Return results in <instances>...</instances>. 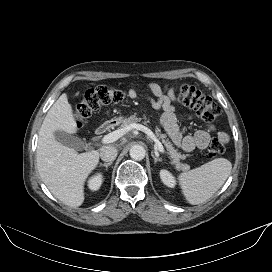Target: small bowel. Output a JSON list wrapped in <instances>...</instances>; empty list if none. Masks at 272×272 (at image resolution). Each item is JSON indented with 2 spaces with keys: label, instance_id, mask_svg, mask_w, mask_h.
I'll return each mask as SVG.
<instances>
[{
  "label": "small bowel",
  "instance_id": "1",
  "mask_svg": "<svg viewBox=\"0 0 272 272\" xmlns=\"http://www.w3.org/2000/svg\"><path fill=\"white\" fill-rule=\"evenodd\" d=\"M145 87L151 92V96H144L145 100L155 109H162L161 125L169 135L175 145L186 152L194 149H205L211 140V134H215L217 139L223 143L228 141V135L224 131H219L214 122L207 124L206 130H199L191 135H184L176 114L175 94L170 87H163L158 83H148ZM131 99H138L141 95L137 87L128 90ZM188 116V115H187ZM189 117V116H188Z\"/></svg>",
  "mask_w": 272,
  "mask_h": 272
}]
</instances>
